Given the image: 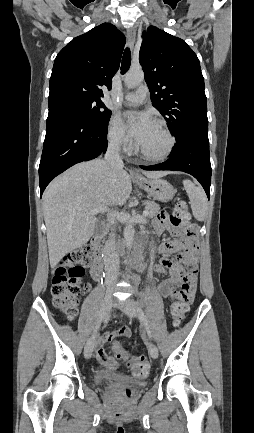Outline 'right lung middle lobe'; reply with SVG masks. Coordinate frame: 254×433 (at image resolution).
I'll return each mask as SVG.
<instances>
[{
  "label": "right lung middle lobe",
  "instance_id": "dd1d6c3e",
  "mask_svg": "<svg viewBox=\"0 0 254 433\" xmlns=\"http://www.w3.org/2000/svg\"><path fill=\"white\" fill-rule=\"evenodd\" d=\"M50 108H63L76 111L91 121L105 123L110 119L108 110L101 99L72 98L49 105Z\"/></svg>",
  "mask_w": 254,
  "mask_h": 433
}]
</instances>
